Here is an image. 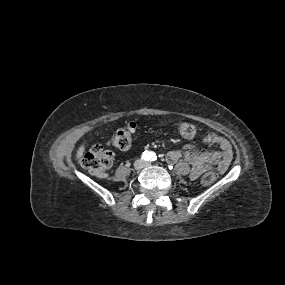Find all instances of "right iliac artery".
<instances>
[{
    "label": "right iliac artery",
    "instance_id": "obj_1",
    "mask_svg": "<svg viewBox=\"0 0 285 285\" xmlns=\"http://www.w3.org/2000/svg\"><path fill=\"white\" fill-rule=\"evenodd\" d=\"M141 159L144 160V161H149V159H150V152L144 151L142 153Z\"/></svg>",
    "mask_w": 285,
    "mask_h": 285
}]
</instances>
